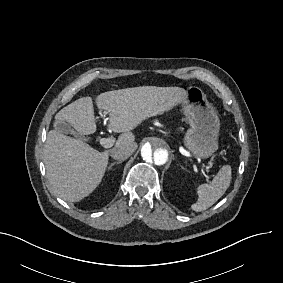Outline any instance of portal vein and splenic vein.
I'll return each instance as SVG.
<instances>
[{
  "mask_svg": "<svg viewBox=\"0 0 283 283\" xmlns=\"http://www.w3.org/2000/svg\"><path fill=\"white\" fill-rule=\"evenodd\" d=\"M114 143H115V138H101V139H100V144H101L104 148H110V147L113 146ZM200 175L204 177L206 183H209V182H210V177H209V175H208L204 170H201V171H200ZM211 178H212V179H215V178H216V175H215V174H212V175H211Z\"/></svg>",
  "mask_w": 283,
  "mask_h": 283,
  "instance_id": "obj_1",
  "label": "portal vein and splenic vein"
}]
</instances>
